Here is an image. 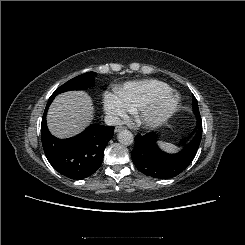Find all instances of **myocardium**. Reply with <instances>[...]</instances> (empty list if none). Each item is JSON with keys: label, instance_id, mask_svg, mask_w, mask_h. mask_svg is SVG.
<instances>
[{"label": "myocardium", "instance_id": "1", "mask_svg": "<svg viewBox=\"0 0 245 245\" xmlns=\"http://www.w3.org/2000/svg\"><path fill=\"white\" fill-rule=\"evenodd\" d=\"M179 104L180 96L176 92L157 96L135 109V120L144 128H156L177 111Z\"/></svg>", "mask_w": 245, "mask_h": 245}]
</instances>
